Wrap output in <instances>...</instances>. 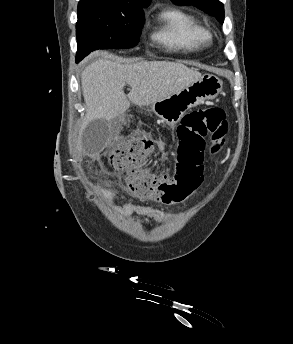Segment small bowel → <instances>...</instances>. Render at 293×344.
<instances>
[{"mask_svg":"<svg viewBox=\"0 0 293 344\" xmlns=\"http://www.w3.org/2000/svg\"><path fill=\"white\" fill-rule=\"evenodd\" d=\"M154 145L156 149L160 151H164L165 145L161 140H155ZM198 177L201 178V181L203 180V173H204V167L201 166L196 171ZM106 196L113 202L115 200V196L112 192L106 190L105 191ZM118 212L123 216H130L132 214L142 215L154 222H159L166 218V215L160 211H157L151 207L141 205V204H134V203H127L123 205L122 207L118 208Z\"/></svg>","mask_w":293,"mask_h":344,"instance_id":"obj_1","label":"small bowel"}]
</instances>
